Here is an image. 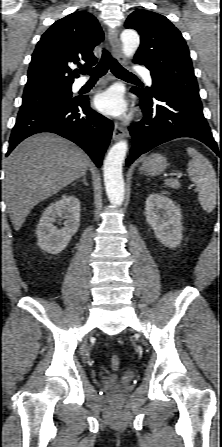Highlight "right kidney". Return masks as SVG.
Wrapping results in <instances>:
<instances>
[{"label": "right kidney", "mask_w": 222, "mask_h": 447, "mask_svg": "<svg viewBox=\"0 0 222 447\" xmlns=\"http://www.w3.org/2000/svg\"><path fill=\"white\" fill-rule=\"evenodd\" d=\"M66 219L64 227L55 223ZM80 225V201L74 196L63 195L51 203L43 212L36 229L38 245L51 254H58L66 248Z\"/></svg>", "instance_id": "1"}]
</instances>
